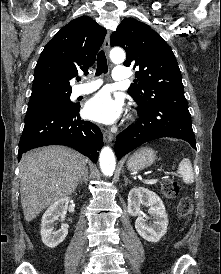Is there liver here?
Listing matches in <instances>:
<instances>
[{"mask_svg":"<svg viewBox=\"0 0 221 274\" xmlns=\"http://www.w3.org/2000/svg\"><path fill=\"white\" fill-rule=\"evenodd\" d=\"M86 163L83 155L63 146H47L24 154L20 161V195L26 221L72 194Z\"/></svg>","mask_w":221,"mask_h":274,"instance_id":"6515ba94","label":"liver"}]
</instances>
